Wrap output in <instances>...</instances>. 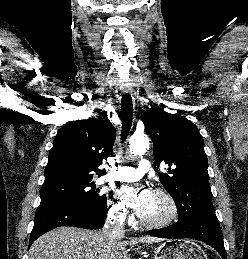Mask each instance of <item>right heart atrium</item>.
<instances>
[{
    "label": "right heart atrium",
    "instance_id": "1",
    "mask_svg": "<svg viewBox=\"0 0 248 259\" xmlns=\"http://www.w3.org/2000/svg\"><path fill=\"white\" fill-rule=\"evenodd\" d=\"M110 217L117 223L123 224L130 218L128 210L123 202L116 201L110 208Z\"/></svg>",
    "mask_w": 248,
    "mask_h": 259
}]
</instances>
